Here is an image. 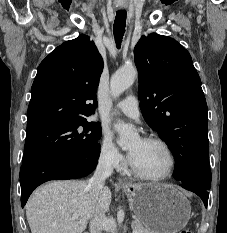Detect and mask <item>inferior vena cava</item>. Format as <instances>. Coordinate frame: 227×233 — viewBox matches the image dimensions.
I'll list each match as a JSON object with an SVG mask.
<instances>
[{
    "instance_id": "inferior-vena-cava-1",
    "label": "inferior vena cava",
    "mask_w": 227,
    "mask_h": 233,
    "mask_svg": "<svg viewBox=\"0 0 227 233\" xmlns=\"http://www.w3.org/2000/svg\"><path fill=\"white\" fill-rule=\"evenodd\" d=\"M113 158L111 155H104L99 158L94 175L88 181L87 188L93 197L99 195L104 188L106 178H108L113 171ZM105 220V215L95 216L90 222V233H101L102 224Z\"/></svg>"
}]
</instances>
